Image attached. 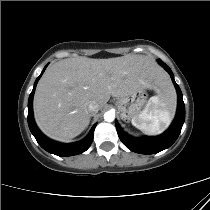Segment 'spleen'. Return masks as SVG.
Instances as JSON below:
<instances>
[{
	"label": "spleen",
	"instance_id": "1",
	"mask_svg": "<svg viewBox=\"0 0 210 210\" xmlns=\"http://www.w3.org/2000/svg\"><path fill=\"white\" fill-rule=\"evenodd\" d=\"M173 99V88L172 93L165 91L151 97L141 113L132 118V125L148 135L161 134L171 122L170 109Z\"/></svg>",
	"mask_w": 210,
	"mask_h": 210
}]
</instances>
